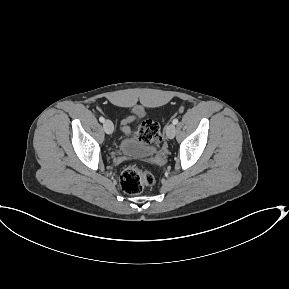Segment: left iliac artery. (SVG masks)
Here are the masks:
<instances>
[{"label": "left iliac artery", "instance_id": "1", "mask_svg": "<svg viewBox=\"0 0 289 289\" xmlns=\"http://www.w3.org/2000/svg\"><path fill=\"white\" fill-rule=\"evenodd\" d=\"M172 123L174 124V125H176L177 123H178V119H174L173 121H172Z\"/></svg>", "mask_w": 289, "mask_h": 289}]
</instances>
